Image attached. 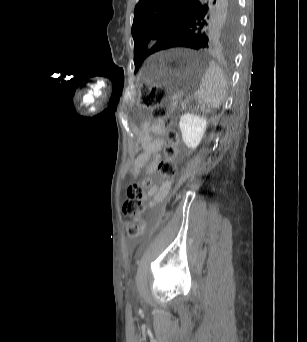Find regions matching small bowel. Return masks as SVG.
<instances>
[{"mask_svg":"<svg viewBox=\"0 0 307 342\" xmlns=\"http://www.w3.org/2000/svg\"><path fill=\"white\" fill-rule=\"evenodd\" d=\"M166 130L162 123L154 120L145 121L139 133L140 142L143 152L139 154L132 166V175L137 179L145 168V173L148 176L156 172L157 164L161 159V151L166 145L165 139ZM167 184L162 187L154 185L148 191L150 198L149 206L154 207L157 203L161 202L167 193Z\"/></svg>","mask_w":307,"mask_h":342,"instance_id":"c3829d8e","label":"small bowel"}]
</instances>
